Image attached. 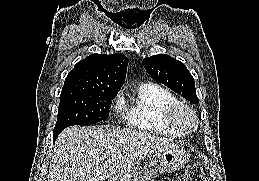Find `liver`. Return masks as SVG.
<instances>
[{
	"mask_svg": "<svg viewBox=\"0 0 259 181\" xmlns=\"http://www.w3.org/2000/svg\"><path fill=\"white\" fill-rule=\"evenodd\" d=\"M169 146L171 140L141 131L69 127L56 140L48 181H104Z\"/></svg>",
	"mask_w": 259,
	"mask_h": 181,
	"instance_id": "1",
	"label": "liver"
}]
</instances>
